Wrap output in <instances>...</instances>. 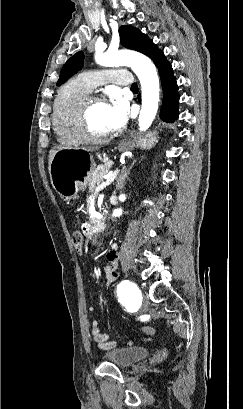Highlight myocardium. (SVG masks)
Masks as SVG:
<instances>
[{
  "mask_svg": "<svg viewBox=\"0 0 243 409\" xmlns=\"http://www.w3.org/2000/svg\"><path fill=\"white\" fill-rule=\"evenodd\" d=\"M95 101H105V96L99 93L89 92L84 95L76 106L75 118L78 130L84 141L100 142L105 140L109 134H94L89 127L88 111L90 105Z\"/></svg>",
  "mask_w": 243,
  "mask_h": 409,
  "instance_id": "obj_1",
  "label": "myocardium"
}]
</instances>
